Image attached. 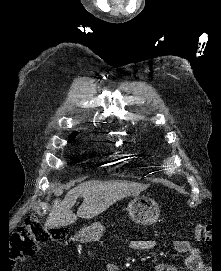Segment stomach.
Wrapping results in <instances>:
<instances>
[{
    "label": "stomach",
    "instance_id": "stomach-1",
    "mask_svg": "<svg viewBox=\"0 0 221 271\" xmlns=\"http://www.w3.org/2000/svg\"><path fill=\"white\" fill-rule=\"evenodd\" d=\"M158 205V202H154V197H135L129 203V215L139 225H151L161 212ZM104 231L103 225L94 221L86 227V230H78V233H74V238H90L91 241H97Z\"/></svg>",
    "mask_w": 221,
    "mask_h": 271
}]
</instances>
